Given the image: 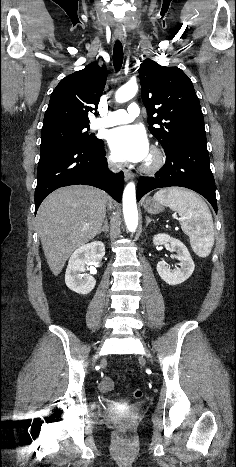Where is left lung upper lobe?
<instances>
[{"label":"left lung upper lobe","instance_id":"1","mask_svg":"<svg viewBox=\"0 0 236 467\" xmlns=\"http://www.w3.org/2000/svg\"><path fill=\"white\" fill-rule=\"evenodd\" d=\"M139 77L149 130L165 151L181 138L206 136L199 99L181 69L160 66L147 59L139 68Z\"/></svg>","mask_w":236,"mask_h":467}]
</instances>
